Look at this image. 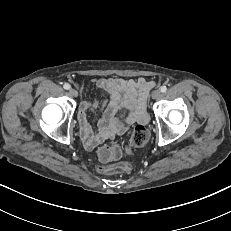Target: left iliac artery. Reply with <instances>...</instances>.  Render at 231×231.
Returning <instances> with one entry per match:
<instances>
[{"instance_id": "left-iliac-artery-1", "label": "left iliac artery", "mask_w": 231, "mask_h": 231, "mask_svg": "<svg viewBox=\"0 0 231 231\" xmlns=\"http://www.w3.org/2000/svg\"><path fill=\"white\" fill-rule=\"evenodd\" d=\"M160 91H161L162 93L166 92V91H167V87H166V86H162V87L160 88Z\"/></svg>"}]
</instances>
